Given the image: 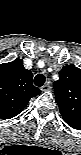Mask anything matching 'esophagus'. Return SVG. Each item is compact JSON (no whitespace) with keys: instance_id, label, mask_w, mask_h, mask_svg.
I'll return each mask as SVG.
<instances>
[{"instance_id":"esophagus-1","label":"esophagus","mask_w":81,"mask_h":155,"mask_svg":"<svg viewBox=\"0 0 81 155\" xmlns=\"http://www.w3.org/2000/svg\"><path fill=\"white\" fill-rule=\"evenodd\" d=\"M42 91H50L51 90V85L50 83H46L41 87Z\"/></svg>"}]
</instances>
